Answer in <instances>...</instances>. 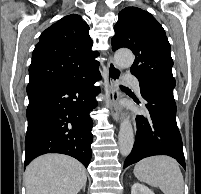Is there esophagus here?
<instances>
[{
  "instance_id": "obj_1",
  "label": "esophagus",
  "mask_w": 201,
  "mask_h": 194,
  "mask_svg": "<svg viewBox=\"0 0 201 194\" xmlns=\"http://www.w3.org/2000/svg\"><path fill=\"white\" fill-rule=\"evenodd\" d=\"M121 76V70L118 68L113 60L110 58L107 63L106 73V92H107V106L111 110L113 119L118 122L121 117V110L118 105L119 88L118 83Z\"/></svg>"
}]
</instances>
